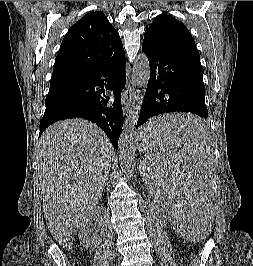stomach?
<instances>
[{"label":"stomach","mask_w":253,"mask_h":266,"mask_svg":"<svg viewBox=\"0 0 253 266\" xmlns=\"http://www.w3.org/2000/svg\"><path fill=\"white\" fill-rule=\"evenodd\" d=\"M141 138H148L147 135H146V132H144V127H142L137 135V140H138V144H139V147L140 149L142 150V147H141Z\"/></svg>","instance_id":"1"}]
</instances>
